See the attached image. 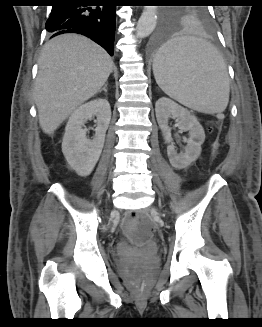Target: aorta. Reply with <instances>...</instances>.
Returning a JSON list of instances; mask_svg holds the SVG:
<instances>
[{"label": "aorta", "instance_id": "1", "mask_svg": "<svg viewBox=\"0 0 262 327\" xmlns=\"http://www.w3.org/2000/svg\"><path fill=\"white\" fill-rule=\"evenodd\" d=\"M158 8L156 6H145L136 26V37L145 38L153 32L156 27Z\"/></svg>", "mask_w": 262, "mask_h": 327}]
</instances>
